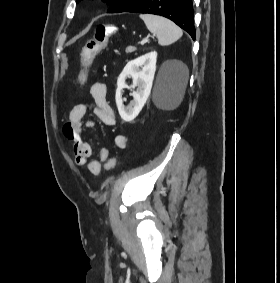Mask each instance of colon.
Masks as SVG:
<instances>
[{
    "label": "colon",
    "instance_id": "1",
    "mask_svg": "<svg viewBox=\"0 0 280 283\" xmlns=\"http://www.w3.org/2000/svg\"><path fill=\"white\" fill-rule=\"evenodd\" d=\"M117 30V27L111 25L97 26L93 38L87 41L81 52V62L83 68L88 67L93 61L94 57L106 47L108 38ZM91 75V70H80L78 77L80 83L79 89H82L85 81ZM78 95L82 94L81 90L77 91ZM115 158H110L107 162V169L112 170L115 167Z\"/></svg>",
    "mask_w": 280,
    "mask_h": 283
}]
</instances>
